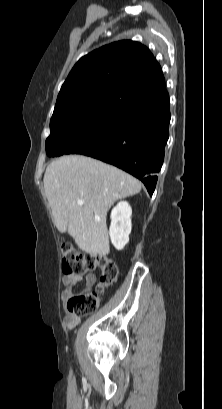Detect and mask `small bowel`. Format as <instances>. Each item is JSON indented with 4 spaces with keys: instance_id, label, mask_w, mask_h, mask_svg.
Masks as SVG:
<instances>
[{
    "instance_id": "1",
    "label": "small bowel",
    "mask_w": 222,
    "mask_h": 409,
    "mask_svg": "<svg viewBox=\"0 0 222 409\" xmlns=\"http://www.w3.org/2000/svg\"><path fill=\"white\" fill-rule=\"evenodd\" d=\"M84 281V291L90 290L96 282V276L93 273L85 275L65 274L62 278L64 289L61 292L62 301H68L74 295V287L77 283ZM80 322V318L71 314H67L63 320L64 326L67 329L74 328Z\"/></svg>"
}]
</instances>
